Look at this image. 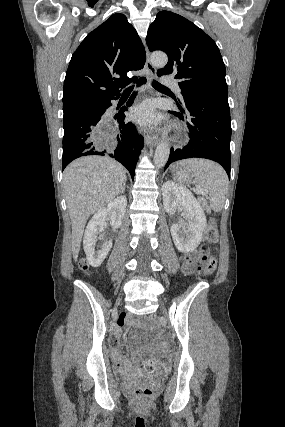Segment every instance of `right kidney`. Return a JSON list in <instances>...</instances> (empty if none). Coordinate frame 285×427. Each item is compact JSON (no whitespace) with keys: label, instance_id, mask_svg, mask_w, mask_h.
<instances>
[{"label":"right kidney","instance_id":"right-kidney-1","mask_svg":"<svg viewBox=\"0 0 285 427\" xmlns=\"http://www.w3.org/2000/svg\"><path fill=\"white\" fill-rule=\"evenodd\" d=\"M126 206L127 198L125 196L117 197L108 203L106 207L97 211L89 221L84 233L83 247L91 266L99 267L112 247V240H105L101 249L96 250L98 234L104 230L107 219L110 220V224L114 229L119 228L122 224Z\"/></svg>","mask_w":285,"mask_h":427}]
</instances>
